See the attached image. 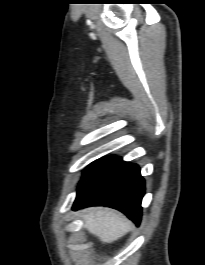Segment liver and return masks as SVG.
Returning a JSON list of instances; mask_svg holds the SVG:
<instances>
[{"label": "liver", "mask_w": 205, "mask_h": 265, "mask_svg": "<svg viewBox=\"0 0 205 265\" xmlns=\"http://www.w3.org/2000/svg\"><path fill=\"white\" fill-rule=\"evenodd\" d=\"M84 227L103 243H112L126 235L133 227L120 214L106 209H90L83 215Z\"/></svg>", "instance_id": "liver-1"}]
</instances>
